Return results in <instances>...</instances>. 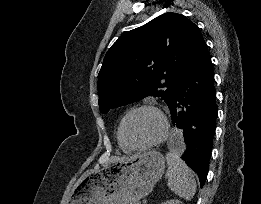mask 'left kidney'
Wrapping results in <instances>:
<instances>
[{
    "instance_id": "left-kidney-1",
    "label": "left kidney",
    "mask_w": 261,
    "mask_h": 204,
    "mask_svg": "<svg viewBox=\"0 0 261 204\" xmlns=\"http://www.w3.org/2000/svg\"><path fill=\"white\" fill-rule=\"evenodd\" d=\"M161 204H183V203L177 199H172V200L162 202Z\"/></svg>"
}]
</instances>
